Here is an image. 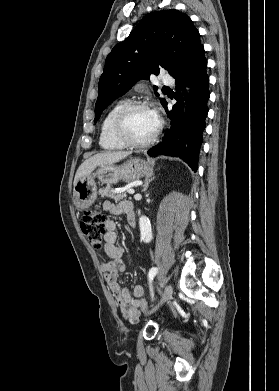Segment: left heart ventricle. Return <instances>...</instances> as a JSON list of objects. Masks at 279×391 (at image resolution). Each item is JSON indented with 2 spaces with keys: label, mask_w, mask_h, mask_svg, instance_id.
Instances as JSON below:
<instances>
[{
  "label": "left heart ventricle",
  "mask_w": 279,
  "mask_h": 391,
  "mask_svg": "<svg viewBox=\"0 0 279 391\" xmlns=\"http://www.w3.org/2000/svg\"><path fill=\"white\" fill-rule=\"evenodd\" d=\"M157 117L148 108L132 110L126 119L127 134L136 141L148 139L157 127Z\"/></svg>",
  "instance_id": "1"
}]
</instances>
